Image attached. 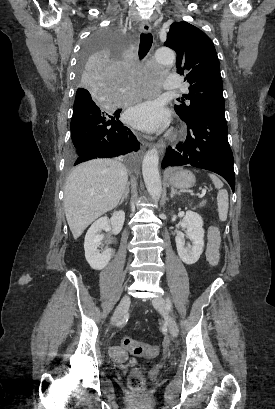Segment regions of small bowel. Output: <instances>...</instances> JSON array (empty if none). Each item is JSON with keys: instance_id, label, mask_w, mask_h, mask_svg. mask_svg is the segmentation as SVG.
I'll use <instances>...</instances> for the list:
<instances>
[{"instance_id": "c3829d8e", "label": "small bowel", "mask_w": 275, "mask_h": 409, "mask_svg": "<svg viewBox=\"0 0 275 409\" xmlns=\"http://www.w3.org/2000/svg\"><path fill=\"white\" fill-rule=\"evenodd\" d=\"M220 237L216 227H211L208 233V243L206 249V257L211 265H216L219 259ZM111 357L120 363L128 361L127 352L120 347H112L110 351Z\"/></svg>"}]
</instances>
